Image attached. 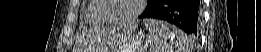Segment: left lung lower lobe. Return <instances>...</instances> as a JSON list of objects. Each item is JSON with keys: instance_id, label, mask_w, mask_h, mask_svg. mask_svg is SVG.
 <instances>
[{"instance_id": "obj_1", "label": "left lung lower lobe", "mask_w": 261, "mask_h": 52, "mask_svg": "<svg viewBox=\"0 0 261 52\" xmlns=\"http://www.w3.org/2000/svg\"><path fill=\"white\" fill-rule=\"evenodd\" d=\"M139 18L166 20L192 37H196L201 20V2L200 0H153Z\"/></svg>"}]
</instances>
